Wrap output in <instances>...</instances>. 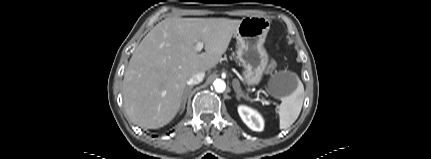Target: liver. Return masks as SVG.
I'll list each match as a JSON object with an SVG mask.
<instances>
[{
  "label": "liver",
  "instance_id": "obj_1",
  "mask_svg": "<svg viewBox=\"0 0 431 159\" xmlns=\"http://www.w3.org/2000/svg\"><path fill=\"white\" fill-rule=\"evenodd\" d=\"M241 20L167 18L135 49L123 80L127 115L137 125L158 129L179 111L194 72L210 71L221 61ZM197 42L205 52L196 51Z\"/></svg>",
  "mask_w": 431,
  "mask_h": 159
}]
</instances>
